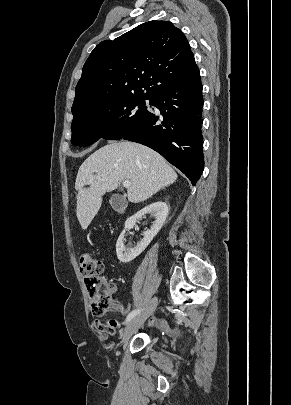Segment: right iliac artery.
Returning a JSON list of instances; mask_svg holds the SVG:
<instances>
[{"label":"right iliac artery","mask_w":291,"mask_h":405,"mask_svg":"<svg viewBox=\"0 0 291 405\" xmlns=\"http://www.w3.org/2000/svg\"><path fill=\"white\" fill-rule=\"evenodd\" d=\"M141 309H135L133 311H131L127 317H126V322L130 321L132 318H134L136 315H138L140 313Z\"/></svg>","instance_id":"right-iliac-artery-1"}]
</instances>
